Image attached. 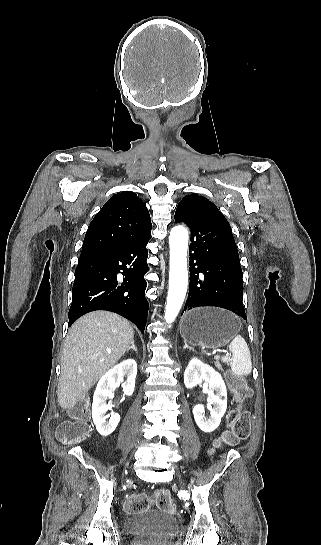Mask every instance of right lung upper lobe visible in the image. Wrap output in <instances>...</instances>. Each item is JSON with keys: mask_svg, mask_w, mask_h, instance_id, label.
<instances>
[{"mask_svg": "<svg viewBox=\"0 0 321 545\" xmlns=\"http://www.w3.org/2000/svg\"><path fill=\"white\" fill-rule=\"evenodd\" d=\"M146 205L132 191L112 196L90 223L80 258L124 247L151 233Z\"/></svg>", "mask_w": 321, "mask_h": 545, "instance_id": "cb5924a9", "label": "right lung upper lobe"}]
</instances>
